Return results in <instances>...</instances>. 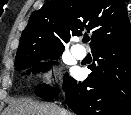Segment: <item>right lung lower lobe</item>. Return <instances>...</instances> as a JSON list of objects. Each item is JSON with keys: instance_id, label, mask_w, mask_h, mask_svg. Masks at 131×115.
<instances>
[{"instance_id": "obj_1", "label": "right lung lower lobe", "mask_w": 131, "mask_h": 115, "mask_svg": "<svg viewBox=\"0 0 131 115\" xmlns=\"http://www.w3.org/2000/svg\"><path fill=\"white\" fill-rule=\"evenodd\" d=\"M92 54L97 66L88 78L63 86L67 105L77 115H131V38Z\"/></svg>"}]
</instances>
